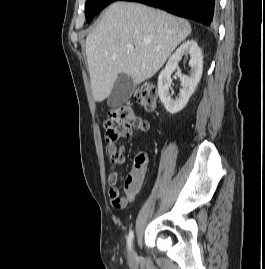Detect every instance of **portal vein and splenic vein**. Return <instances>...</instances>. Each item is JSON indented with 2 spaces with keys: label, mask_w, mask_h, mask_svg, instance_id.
<instances>
[{
  "label": "portal vein and splenic vein",
  "mask_w": 265,
  "mask_h": 269,
  "mask_svg": "<svg viewBox=\"0 0 265 269\" xmlns=\"http://www.w3.org/2000/svg\"><path fill=\"white\" fill-rule=\"evenodd\" d=\"M127 49H128L129 51H133V50H134V47H133L132 45H128V46H127Z\"/></svg>",
  "instance_id": "obj_1"
}]
</instances>
